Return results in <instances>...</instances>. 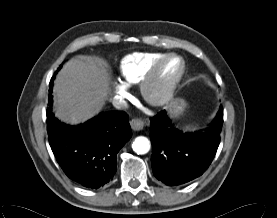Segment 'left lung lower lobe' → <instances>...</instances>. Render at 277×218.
<instances>
[{
    "instance_id": "1",
    "label": "left lung lower lobe",
    "mask_w": 277,
    "mask_h": 218,
    "mask_svg": "<svg viewBox=\"0 0 277 218\" xmlns=\"http://www.w3.org/2000/svg\"><path fill=\"white\" fill-rule=\"evenodd\" d=\"M222 124V106L210 125L195 133H182L175 129L165 110L151 118L154 176L166 185L175 186L202 175L215 157Z\"/></svg>"
}]
</instances>
